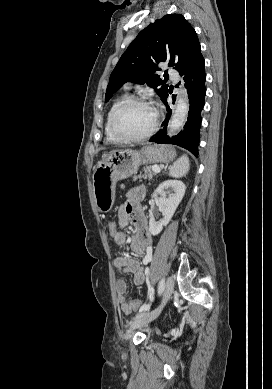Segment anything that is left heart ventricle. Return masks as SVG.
<instances>
[{
  "label": "left heart ventricle",
  "mask_w": 272,
  "mask_h": 389,
  "mask_svg": "<svg viewBox=\"0 0 272 389\" xmlns=\"http://www.w3.org/2000/svg\"><path fill=\"white\" fill-rule=\"evenodd\" d=\"M153 120L154 114L151 108L141 104H132L122 110L116 125L123 135L138 136L150 129Z\"/></svg>",
  "instance_id": "left-heart-ventricle-1"
}]
</instances>
